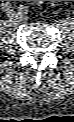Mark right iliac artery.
Wrapping results in <instances>:
<instances>
[{
    "label": "right iliac artery",
    "instance_id": "82829eb1",
    "mask_svg": "<svg viewBox=\"0 0 74 122\" xmlns=\"http://www.w3.org/2000/svg\"><path fill=\"white\" fill-rule=\"evenodd\" d=\"M2 9H3L4 11L9 12V11H11L12 6H11V4H10L9 2H5V3L2 4Z\"/></svg>",
    "mask_w": 74,
    "mask_h": 122
}]
</instances>
